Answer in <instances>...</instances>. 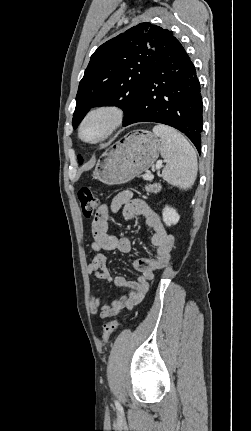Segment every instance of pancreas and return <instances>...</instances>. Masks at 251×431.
I'll return each instance as SVG.
<instances>
[{
    "label": "pancreas",
    "instance_id": "pancreas-1",
    "mask_svg": "<svg viewBox=\"0 0 251 431\" xmlns=\"http://www.w3.org/2000/svg\"><path fill=\"white\" fill-rule=\"evenodd\" d=\"M145 189L149 193H157L160 191V184H149L145 186Z\"/></svg>",
    "mask_w": 251,
    "mask_h": 431
}]
</instances>
